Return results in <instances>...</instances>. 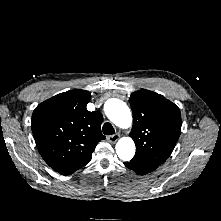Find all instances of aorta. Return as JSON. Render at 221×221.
I'll list each match as a JSON object with an SVG mask.
<instances>
[{"label":"aorta","mask_w":221,"mask_h":221,"mask_svg":"<svg viewBox=\"0 0 221 221\" xmlns=\"http://www.w3.org/2000/svg\"><path fill=\"white\" fill-rule=\"evenodd\" d=\"M107 117L119 128L132 125V115L127 104L119 99H110L105 107ZM116 153L123 161H130L135 155V143L130 137H123L116 144Z\"/></svg>","instance_id":"obj_1"}]
</instances>
